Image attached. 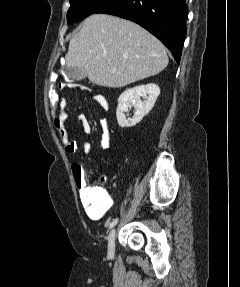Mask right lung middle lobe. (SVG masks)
<instances>
[{
	"label": "right lung middle lobe",
	"instance_id": "1",
	"mask_svg": "<svg viewBox=\"0 0 240 287\" xmlns=\"http://www.w3.org/2000/svg\"><path fill=\"white\" fill-rule=\"evenodd\" d=\"M107 0H70L67 21L73 24L93 14Z\"/></svg>",
	"mask_w": 240,
	"mask_h": 287
}]
</instances>
